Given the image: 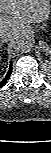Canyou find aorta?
I'll return each instance as SVG.
<instances>
[{
    "label": "aorta",
    "instance_id": "obj_1",
    "mask_svg": "<svg viewBox=\"0 0 51 153\" xmlns=\"http://www.w3.org/2000/svg\"><path fill=\"white\" fill-rule=\"evenodd\" d=\"M33 47V39L29 35H20L13 41V49L18 53H27Z\"/></svg>",
    "mask_w": 51,
    "mask_h": 153
}]
</instances>
